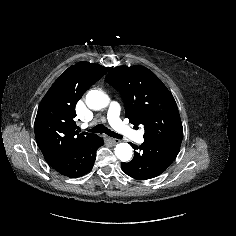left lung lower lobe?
Returning a JSON list of instances; mask_svg holds the SVG:
<instances>
[{
  "label": "left lung lower lobe",
  "mask_w": 236,
  "mask_h": 236,
  "mask_svg": "<svg viewBox=\"0 0 236 236\" xmlns=\"http://www.w3.org/2000/svg\"><path fill=\"white\" fill-rule=\"evenodd\" d=\"M183 137L167 139H144L135 150L133 159L121 163L125 174L138 180L152 179L162 174L176 159Z\"/></svg>",
  "instance_id": "left-lung-lower-lobe-1"
}]
</instances>
